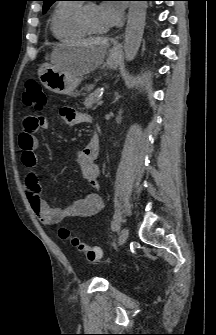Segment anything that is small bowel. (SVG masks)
<instances>
[{
	"label": "small bowel",
	"mask_w": 216,
	"mask_h": 335,
	"mask_svg": "<svg viewBox=\"0 0 216 335\" xmlns=\"http://www.w3.org/2000/svg\"><path fill=\"white\" fill-rule=\"evenodd\" d=\"M62 120L71 125L89 122L90 118L84 114L74 113L71 107H62L60 110ZM46 128V123L40 117H28L23 122V129L18 138L22 152L21 160L26 169L24 187L28 201L38 218L45 225H59L68 218H81L97 214L103 207L102 200L97 193H91L83 199L66 206H50L43 198L38 182L35 167L37 164L36 149L38 145L37 133ZM99 139L92 136L87 145L74 154L83 177L93 187L99 185V166L96 160L99 155Z\"/></svg>",
	"instance_id": "small-bowel-1"
}]
</instances>
